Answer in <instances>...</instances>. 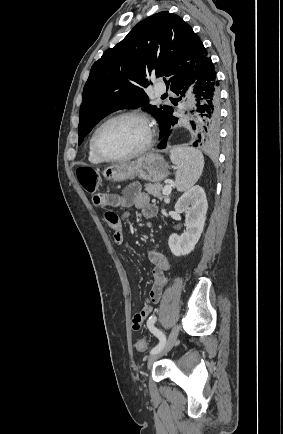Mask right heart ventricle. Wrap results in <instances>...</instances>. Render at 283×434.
<instances>
[{
	"mask_svg": "<svg viewBox=\"0 0 283 434\" xmlns=\"http://www.w3.org/2000/svg\"><path fill=\"white\" fill-rule=\"evenodd\" d=\"M88 158H89L90 162L95 163V164L103 162L100 158H98L96 156L90 143H89V148H88Z\"/></svg>",
	"mask_w": 283,
	"mask_h": 434,
	"instance_id": "1",
	"label": "right heart ventricle"
}]
</instances>
